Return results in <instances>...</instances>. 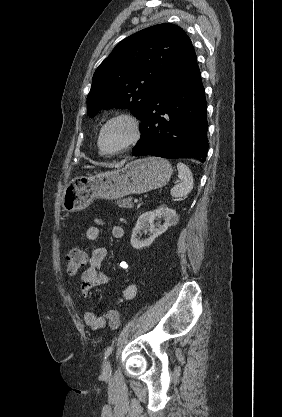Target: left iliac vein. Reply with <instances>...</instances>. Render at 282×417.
<instances>
[{
	"label": "left iliac vein",
	"mask_w": 282,
	"mask_h": 417,
	"mask_svg": "<svg viewBox=\"0 0 282 417\" xmlns=\"http://www.w3.org/2000/svg\"><path fill=\"white\" fill-rule=\"evenodd\" d=\"M111 373V363L110 360H107L103 366V374L109 375Z\"/></svg>",
	"instance_id": "1"
}]
</instances>
